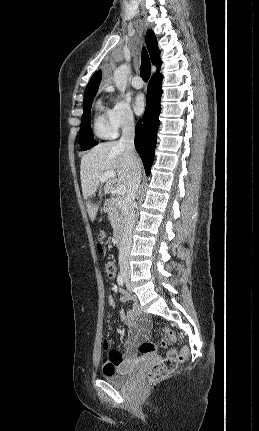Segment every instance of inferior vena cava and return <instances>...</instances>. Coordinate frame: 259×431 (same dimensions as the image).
Here are the masks:
<instances>
[{
    "label": "inferior vena cava",
    "instance_id": "obj_1",
    "mask_svg": "<svg viewBox=\"0 0 259 431\" xmlns=\"http://www.w3.org/2000/svg\"><path fill=\"white\" fill-rule=\"evenodd\" d=\"M134 133V119L129 117L123 125L122 136L119 140V147L125 151V159L131 168V182L124 204V231L119 250V263L121 266H128L132 247V232L135 224L134 202L141 182V172L137 168Z\"/></svg>",
    "mask_w": 259,
    "mask_h": 431
}]
</instances>
